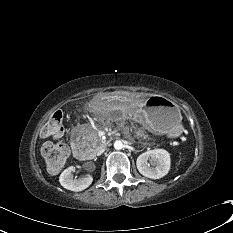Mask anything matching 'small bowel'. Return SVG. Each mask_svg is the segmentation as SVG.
<instances>
[{
	"mask_svg": "<svg viewBox=\"0 0 233 233\" xmlns=\"http://www.w3.org/2000/svg\"><path fill=\"white\" fill-rule=\"evenodd\" d=\"M62 136V132L60 133V134H58V135H56V136H53L54 138H59V137H61Z\"/></svg>",
	"mask_w": 233,
	"mask_h": 233,
	"instance_id": "1",
	"label": "small bowel"
}]
</instances>
